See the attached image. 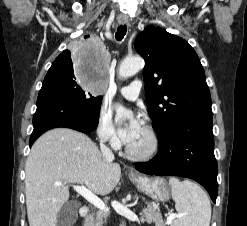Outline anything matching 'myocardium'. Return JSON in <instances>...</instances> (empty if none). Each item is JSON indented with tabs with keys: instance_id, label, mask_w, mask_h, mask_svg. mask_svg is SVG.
Segmentation results:
<instances>
[{
	"instance_id": "1",
	"label": "myocardium",
	"mask_w": 247,
	"mask_h": 226,
	"mask_svg": "<svg viewBox=\"0 0 247 226\" xmlns=\"http://www.w3.org/2000/svg\"><path fill=\"white\" fill-rule=\"evenodd\" d=\"M145 130L147 131V133L150 136L151 139V147L150 149L143 154H137L134 153L133 151H131V149L128 147V145H125V153L127 155V157L131 160L134 161H139V162H146V161H150L153 158L156 157V155L159 152L160 149V138L158 133L156 132V130L149 124H146L144 126Z\"/></svg>"
}]
</instances>
